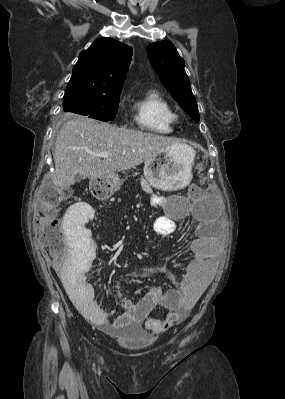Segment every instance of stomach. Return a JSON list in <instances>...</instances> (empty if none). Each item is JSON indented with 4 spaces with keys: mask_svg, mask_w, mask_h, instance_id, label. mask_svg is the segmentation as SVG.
<instances>
[{
    "mask_svg": "<svg viewBox=\"0 0 285 399\" xmlns=\"http://www.w3.org/2000/svg\"><path fill=\"white\" fill-rule=\"evenodd\" d=\"M194 150L184 144H178L157 153L145 162L144 176L155 188L173 191L186 186L192 179ZM122 185L118 175L91 179L89 188L99 200L110 198Z\"/></svg>",
    "mask_w": 285,
    "mask_h": 399,
    "instance_id": "obj_1",
    "label": "stomach"
}]
</instances>
